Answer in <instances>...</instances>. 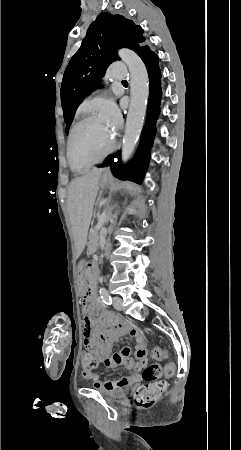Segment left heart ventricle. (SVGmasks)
I'll use <instances>...</instances> for the list:
<instances>
[{
  "mask_svg": "<svg viewBox=\"0 0 241 450\" xmlns=\"http://www.w3.org/2000/svg\"><path fill=\"white\" fill-rule=\"evenodd\" d=\"M80 126L75 130L78 140L73 145L78 165H94L95 160H102L104 153L110 152L114 131L101 114L88 113L81 116Z\"/></svg>",
  "mask_w": 241,
  "mask_h": 450,
  "instance_id": "obj_1",
  "label": "left heart ventricle"
}]
</instances>
